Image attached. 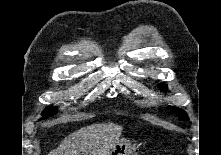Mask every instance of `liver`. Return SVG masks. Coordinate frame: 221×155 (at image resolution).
Wrapping results in <instances>:
<instances>
[{
	"instance_id": "6515ba94",
	"label": "liver",
	"mask_w": 221,
	"mask_h": 155,
	"mask_svg": "<svg viewBox=\"0 0 221 155\" xmlns=\"http://www.w3.org/2000/svg\"><path fill=\"white\" fill-rule=\"evenodd\" d=\"M122 130V126L110 122L80 128L65 137L49 155H108Z\"/></svg>"
}]
</instances>
